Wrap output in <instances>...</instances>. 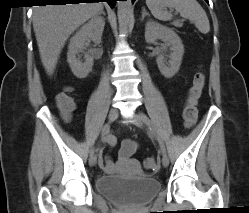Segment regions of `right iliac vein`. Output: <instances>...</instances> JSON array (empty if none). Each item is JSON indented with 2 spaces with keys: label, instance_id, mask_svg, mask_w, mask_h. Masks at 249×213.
Instances as JSON below:
<instances>
[{
  "label": "right iliac vein",
  "instance_id": "63e3f726",
  "mask_svg": "<svg viewBox=\"0 0 249 213\" xmlns=\"http://www.w3.org/2000/svg\"><path fill=\"white\" fill-rule=\"evenodd\" d=\"M117 117H118V111H117V109L112 108V109L109 111V115H108V120H109V122L115 121V120L117 119ZM96 160H97V158H96V155H95V154L90 155L89 164H90L91 166H94V165L96 164Z\"/></svg>",
  "mask_w": 249,
  "mask_h": 213
}]
</instances>
